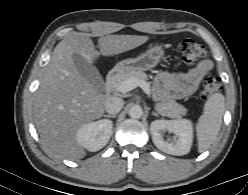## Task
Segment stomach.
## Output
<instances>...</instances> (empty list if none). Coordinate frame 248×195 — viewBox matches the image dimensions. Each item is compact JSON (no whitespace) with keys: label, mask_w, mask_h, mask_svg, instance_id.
Segmentation results:
<instances>
[{"label":"stomach","mask_w":248,"mask_h":195,"mask_svg":"<svg viewBox=\"0 0 248 195\" xmlns=\"http://www.w3.org/2000/svg\"><path fill=\"white\" fill-rule=\"evenodd\" d=\"M165 54L162 44H151L146 51L134 58L120 61L113 69L117 74L147 71L154 68Z\"/></svg>","instance_id":"stomach-1"}]
</instances>
